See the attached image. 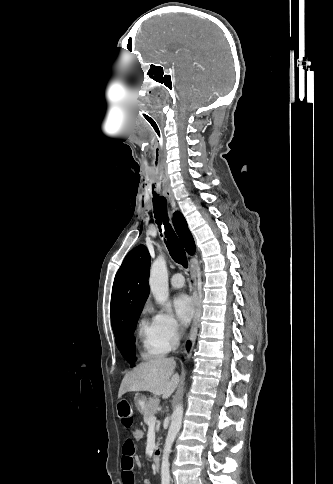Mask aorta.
<instances>
[{"label":"aorta","mask_w":333,"mask_h":484,"mask_svg":"<svg viewBox=\"0 0 333 484\" xmlns=\"http://www.w3.org/2000/svg\"><path fill=\"white\" fill-rule=\"evenodd\" d=\"M149 286L154 298L162 305H165L169 298L168 271L166 261L158 257L151 265ZM183 405H178L172 413L171 423L165 439L162 461H161V484H170V463L169 455L172 445L182 426Z\"/></svg>","instance_id":"1"}]
</instances>
